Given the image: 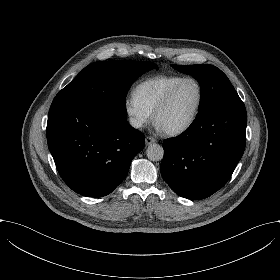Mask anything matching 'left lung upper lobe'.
I'll return each mask as SVG.
<instances>
[{
    "label": "left lung upper lobe",
    "mask_w": 280,
    "mask_h": 280,
    "mask_svg": "<svg viewBox=\"0 0 280 280\" xmlns=\"http://www.w3.org/2000/svg\"><path fill=\"white\" fill-rule=\"evenodd\" d=\"M176 70L193 76L201 86L199 112L203 113L226 101L239 99L227 76L217 67L202 65H171Z\"/></svg>",
    "instance_id": "left-lung-upper-lobe-1"
}]
</instances>
